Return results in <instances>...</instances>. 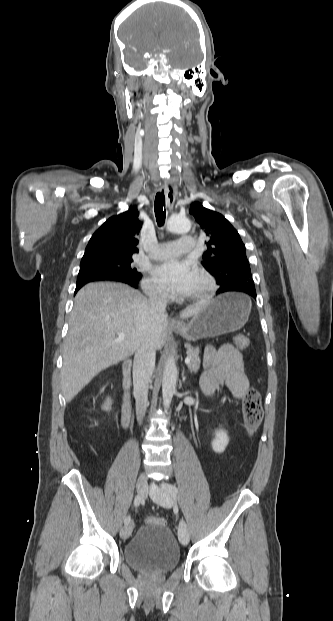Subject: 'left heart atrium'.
<instances>
[{"label":"left heart atrium","instance_id":"39dd6f15","mask_svg":"<svg viewBox=\"0 0 333 621\" xmlns=\"http://www.w3.org/2000/svg\"><path fill=\"white\" fill-rule=\"evenodd\" d=\"M156 279L174 293L184 294L194 281L197 272L187 262L167 260L153 270Z\"/></svg>","mask_w":333,"mask_h":621}]
</instances>
